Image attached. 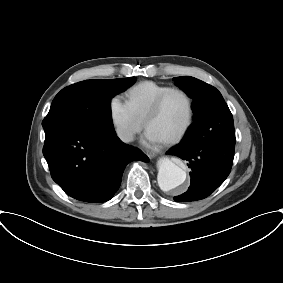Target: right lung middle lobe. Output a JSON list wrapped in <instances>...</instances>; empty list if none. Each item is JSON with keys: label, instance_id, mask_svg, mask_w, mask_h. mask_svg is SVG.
<instances>
[{"label": "right lung middle lobe", "instance_id": "dd1d6c3e", "mask_svg": "<svg viewBox=\"0 0 283 283\" xmlns=\"http://www.w3.org/2000/svg\"><path fill=\"white\" fill-rule=\"evenodd\" d=\"M135 77L85 80L62 89L42 126L45 134L62 127L112 129L111 98L126 90Z\"/></svg>", "mask_w": 283, "mask_h": 283}]
</instances>
